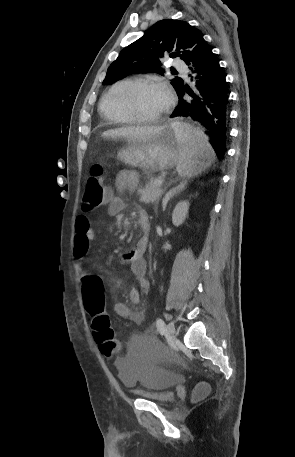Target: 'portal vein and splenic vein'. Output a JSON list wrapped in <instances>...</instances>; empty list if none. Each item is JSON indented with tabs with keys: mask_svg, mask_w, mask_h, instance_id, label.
Masks as SVG:
<instances>
[{
	"mask_svg": "<svg viewBox=\"0 0 295 457\" xmlns=\"http://www.w3.org/2000/svg\"><path fill=\"white\" fill-rule=\"evenodd\" d=\"M156 184H157L158 186H161V185L163 184V180H158V181L156 182Z\"/></svg>",
	"mask_w": 295,
	"mask_h": 457,
	"instance_id": "portal-vein-and-splenic-vein-1",
	"label": "portal vein and splenic vein"
}]
</instances>
